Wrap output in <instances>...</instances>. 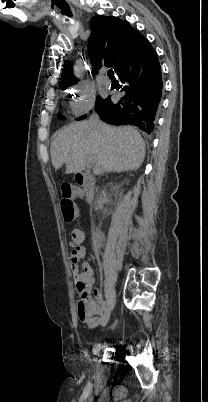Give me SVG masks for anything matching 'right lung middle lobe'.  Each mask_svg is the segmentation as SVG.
I'll use <instances>...</instances> for the list:
<instances>
[{
	"mask_svg": "<svg viewBox=\"0 0 208 402\" xmlns=\"http://www.w3.org/2000/svg\"><path fill=\"white\" fill-rule=\"evenodd\" d=\"M110 102H111L110 97H108L107 99H102V98H100V96H98L97 100H96L95 110L107 107L110 104ZM60 117H61V115H60ZM86 117H87V115H83V116L77 118V120H81Z\"/></svg>",
	"mask_w": 208,
	"mask_h": 402,
	"instance_id": "right-lung-middle-lobe-1",
	"label": "right lung middle lobe"
}]
</instances>
